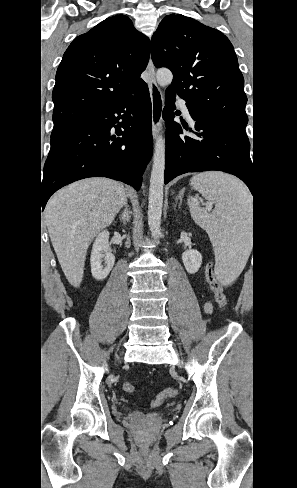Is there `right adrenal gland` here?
I'll use <instances>...</instances> for the list:
<instances>
[{
    "label": "right adrenal gland",
    "mask_w": 297,
    "mask_h": 488,
    "mask_svg": "<svg viewBox=\"0 0 297 488\" xmlns=\"http://www.w3.org/2000/svg\"><path fill=\"white\" fill-rule=\"evenodd\" d=\"M121 222L126 225L129 220H126L123 216H120Z\"/></svg>",
    "instance_id": "2a0ac1e0"
}]
</instances>
